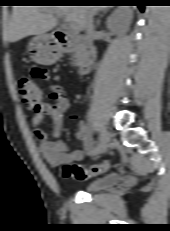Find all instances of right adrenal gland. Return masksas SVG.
<instances>
[{
    "instance_id": "obj_1",
    "label": "right adrenal gland",
    "mask_w": 170,
    "mask_h": 231,
    "mask_svg": "<svg viewBox=\"0 0 170 231\" xmlns=\"http://www.w3.org/2000/svg\"><path fill=\"white\" fill-rule=\"evenodd\" d=\"M106 12H107V10H104L102 15H100V17H102ZM99 25H100V18L96 22V26H99Z\"/></svg>"
}]
</instances>
